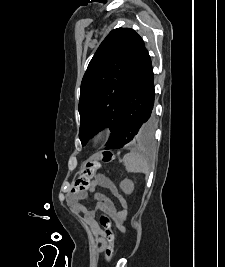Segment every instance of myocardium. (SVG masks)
<instances>
[{
  "instance_id": "myocardium-1",
  "label": "myocardium",
  "mask_w": 225,
  "mask_h": 267,
  "mask_svg": "<svg viewBox=\"0 0 225 267\" xmlns=\"http://www.w3.org/2000/svg\"><path fill=\"white\" fill-rule=\"evenodd\" d=\"M111 128L109 125H101L93 134L92 141L96 144L103 142L109 135Z\"/></svg>"
}]
</instances>
